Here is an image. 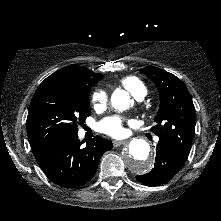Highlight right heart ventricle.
I'll use <instances>...</instances> for the list:
<instances>
[{
    "label": "right heart ventricle",
    "mask_w": 221,
    "mask_h": 221,
    "mask_svg": "<svg viewBox=\"0 0 221 221\" xmlns=\"http://www.w3.org/2000/svg\"><path fill=\"white\" fill-rule=\"evenodd\" d=\"M121 85L129 91L135 98L146 95L147 89L144 83L134 76H129L121 80Z\"/></svg>",
    "instance_id": "e07e8e85"
}]
</instances>
